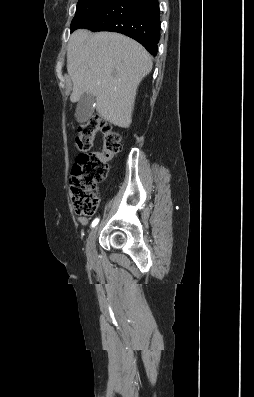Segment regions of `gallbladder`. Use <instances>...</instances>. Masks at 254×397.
I'll return each instance as SVG.
<instances>
[{"mask_svg":"<svg viewBox=\"0 0 254 397\" xmlns=\"http://www.w3.org/2000/svg\"><path fill=\"white\" fill-rule=\"evenodd\" d=\"M95 98L93 95L85 93L78 101L75 117L79 123L86 122L94 112Z\"/></svg>","mask_w":254,"mask_h":397,"instance_id":"obj_1","label":"gallbladder"}]
</instances>
